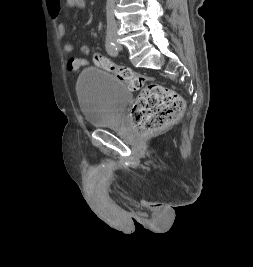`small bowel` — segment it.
<instances>
[{"label":"small bowel","mask_w":253,"mask_h":267,"mask_svg":"<svg viewBox=\"0 0 253 267\" xmlns=\"http://www.w3.org/2000/svg\"><path fill=\"white\" fill-rule=\"evenodd\" d=\"M49 13L55 19H59L61 16L60 0H46ZM66 6L74 9H83L86 6V0H65ZM57 35L60 40H64L66 37V28L63 22H59L57 25ZM63 51L65 53H72L74 46L70 42L63 44Z\"/></svg>","instance_id":"1"}]
</instances>
